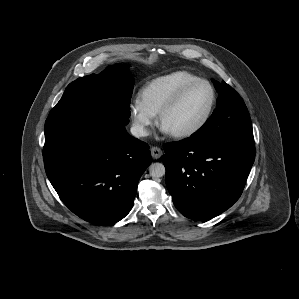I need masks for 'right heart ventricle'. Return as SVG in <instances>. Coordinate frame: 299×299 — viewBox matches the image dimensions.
Wrapping results in <instances>:
<instances>
[{"mask_svg": "<svg viewBox=\"0 0 299 299\" xmlns=\"http://www.w3.org/2000/svg\"><path fill=\"white\" fill-rule=\"evenodd\" d=\"M199 79L188 71H176L148 82L139 93V101L155 115L185 84Z\"/></svg>", "mask_w": 299, "mask_h": 299, "instance_id": "obj_1", "label": "right heart ventricle"}]
</instances>
